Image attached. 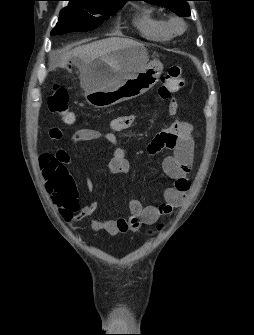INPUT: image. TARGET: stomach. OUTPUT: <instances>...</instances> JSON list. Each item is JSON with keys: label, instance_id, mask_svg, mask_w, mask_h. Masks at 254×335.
<instances>
[{"label": "stomach", "instance_id": "0dacf381", "mask_svg": "<svg viewBox=\"0 0 254 335\" xmlns=\"http://www.w3.org/2000/svg\"><path fill=\"white\" fill-rule=\"evenodd\" d=\"M162 71L159 61H148L142 45L115 51L91 63L84 75L85 99L95 108H106L136 98L158 82ZM119 74L127 77L115 83Z\"/></svg>", "mask_w": 254, "mask_h": 335}]
</instances>
